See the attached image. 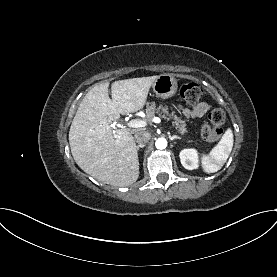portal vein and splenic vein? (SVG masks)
Listing matches in <instances>:
<instances>
[{"instance_id":"obj_1","label":"portal vein and splenic vein","mask_w":277,"mask_h":277,"mask_svg":"<svg viewBox=\"0 0 277 277\" xmlns=\"http://www.w3.org/2000/svg\"><path fill=\"white\" fill-rule=\"evenodd\" d=\"M154 123H160L161 119L159 117H154L152 119ZM128 127L130 128H141L145 127L147 125V122L145 120H140V119H132L131 121L128 122Z\"/></svg>"}]
</instances>
